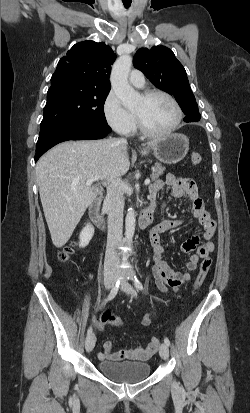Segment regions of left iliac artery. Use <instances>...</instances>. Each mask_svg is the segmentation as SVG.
Masks as SVG:
<instances>
[{"label": "left iliac artery", "mask_w": 250, "mask_h": 413, "mask_svg": "<svg viewBox=\"0 0 250 413\" xmlns=\"http://www.w3.org/2000/svg\"><path fill=\"white\" fill-rule=\"evenodd\" d=\"M133 282H134L135 287H136L138 290H143V285H142V283L140 282V280H139L136 276H134ZM164 343H165L167 346L170 345V341H169V339H168L167 337L164 338Z\"/></svg>", "instance_id": "left-iliac-artery-1"}]
</instances>
